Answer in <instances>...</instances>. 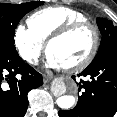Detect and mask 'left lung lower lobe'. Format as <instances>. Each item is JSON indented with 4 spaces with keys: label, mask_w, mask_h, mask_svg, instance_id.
<instances>
[{
    "label": "left lung lower lobe",
    "mask_w": 117,
    "mask_h": 117,
    "mask_svg": "<svg viewBox=\"0 0 117 117\" xmlns=\"http://www.w3.org/2000/svg\"><path fill=\"white\" fill-rule=\"evenodd\" d=\"M80 76H90V81L81 80L76 107L59 111L60 117H113L117 111V46L111 48L97 61L91 63ZM75 78V76H73Z\"/></svg>",
    "instance_id": "obj_1"
}]
</instances>
